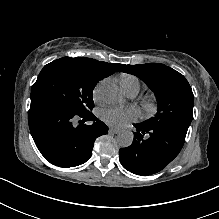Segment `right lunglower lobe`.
<instances>
[{
  "label": "right lung lower lobe",
  "instance_id": "right-lung-lower-lobe-1",
  "mask_svg": "<svg viewBox=\"0 0 219 219\" xmlns=\"http://www.w3.org/2000/svg\"><path fill=\"white\" fill-rule=\"evenodd\" d=\"M86 121L93 124H84ZM28 122L33 140L44 158L65 168L85 163L91 157L95 139L108 133V127L92 113L73 114L50 101H32Z\"/></svg>",
  "mask_w": 219,
  "mask_h": 219
}]
</instances>
